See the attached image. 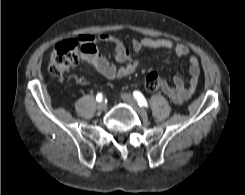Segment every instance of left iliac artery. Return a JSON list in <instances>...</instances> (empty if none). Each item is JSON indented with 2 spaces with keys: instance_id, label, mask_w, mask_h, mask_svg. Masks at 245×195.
<instances>
[{
  "instance_id": "left-iliac-artery-1",
  "label": "left iliac artery",
  "mask_w": 245,
  "mask_h": 195,
  "mask_svg": "<svg viewBox=\"0 0 245 195\" xmlns=\"http://www.w3.org/2000/svg\"><path fill=\"white\" fill-rule=\"evenodd\" d=\"M133 96L138 101V104H139L140 107L141 106L148 107L147 101H146L145 97L142 95L141 92L134 91L133 92Z\"/></svg>"
}]
</instances>
